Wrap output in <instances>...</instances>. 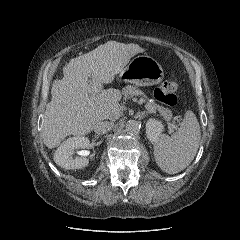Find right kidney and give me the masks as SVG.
Returning <instances> with one entry per match:
<instances>
[{
	"label": "right kidney",
	"instance_id": "right-kidney-1",
	"mask_svg": "<svg viewBox=\"0 0 240 240\" xmlns=\"http://www.w3.org/2000/svg\"><path fill=\"white\" fill-rule=\"evenodd\" d=\"M87 137L75 136L68 138L58 147L54 154V161L64 169H81L88 165L89 160L86 157L73 158L75 149L87 148L89 146ZM87 154L86 152H84Z\"/></svg>",
	"mask_w": 240,
	"mask_h": 240
}]
</instances>
